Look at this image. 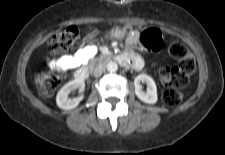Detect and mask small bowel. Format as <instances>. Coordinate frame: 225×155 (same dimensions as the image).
<instances>
[{"label":"small bowel","mask_w":225,"mask_h":155,"mask_svg":"<svg viewBox=\"0 0 225 155\" xmlns=\"http://www.w3.org/2000/svg\"><path fill=\"white\" fill-rule=\"evenodd\" d=\"M139 44V35L136 32L129 34L127 38V52L124 54L131 60L136 62L141 66V60L136 55L135 50ZM97 52L95 45H88L79 50H77L73 55H64L56 60H53L51 64L53 66L60 67L62 69H71L77 67L81 64L86 63L90 58H92Z\"/></svg>","instance_id":"c3829d8e"}]
</instances>
